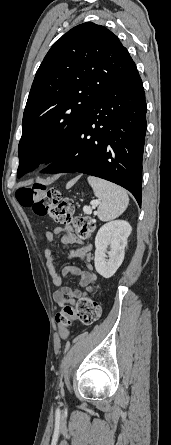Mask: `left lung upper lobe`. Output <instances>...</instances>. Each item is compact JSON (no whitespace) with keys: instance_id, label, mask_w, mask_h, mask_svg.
Masks as SVG:
<instances>
[{"instance_id":"left-lung-upper-lobe-1","label":"left lung upper lobe","mask_w":171,"mask_h":445,"mask_svg":"<svg viewBox=\"0 0 171 445\" xmlns=\"http://www.w3.org/2000/svg\"><path fill=\"white\" fill-rule=\"evenodd\" d=\"M135 69L117 36L101 25L80 24L57 40L37 70L28 96L17 177L51 163L87 109Z\"/></svg>"}]
</instances>
